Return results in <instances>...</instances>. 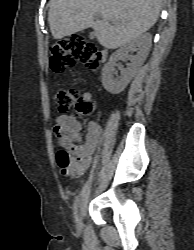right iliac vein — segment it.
<instances>
[{
  "mask_svg": "<svg viewBox=\"0 0 194 250\" xmlns=\"http://www.w3.org/2000/svg\"><path fill=\"white\" fill-rule=\"evenodd\" d=\"M76 226H77V230L80 231L81 230V213L80 212L77 215Z\"/></svg>",
  "mask_w": 194,
  "mask_h": 250,
  "instance_id": "63e3f726",
  "label": "right iliac vein"
}]
</instances>
